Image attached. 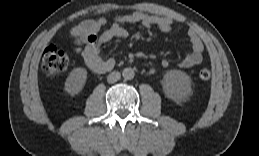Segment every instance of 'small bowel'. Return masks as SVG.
I'll return each instance as SVG.
<instances>
[{"label": "small bowel", "instance_id": "obj_1", "mask_svg": "<svg viewBox=\"0 0 259 156\" xmlns=\"http://www.w3.org/2000/svg\"><path fill=\"white\" fill-rule=\"evenodd\" d=\"M139 23L145 28L155 27L162 32H171L174 29V20L166 16L149 15L142 12L123 13L113 18L110 26L105 17L96 20H86L71 28L69 36L74 45L75 52L84 60L86 65L96 73H105L114 67L112 58H102L100 46L113 39H125L127 31L125 24ZM188 38L191 43V52L182 59L178 66L180 68H191L198 66L203 59L204 46L198 32L194 29L188 31ZM162 66L170 65L169 59L162 60Z\"/></svg>", "mask_w": 259, "mask_h": 156}]
</instances>
